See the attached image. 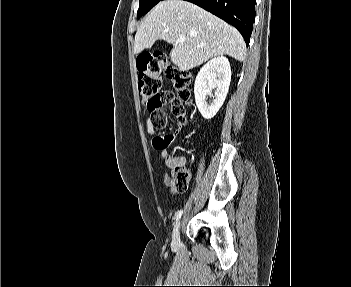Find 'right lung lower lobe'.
<instances>
[{
    "mask_svg": "<svg viewBox=\"0 0 351 287\" xmlns=\"http://www.w3.org/2000/svg\"><path fill=\"white\" fill-rule=\"evenodd\" d=\"M233 25L249 44L256 0H186Z\"/></svg>",
    "mask_w": 351,
    "mask_h": 287,
    "instance_id": "right-lung-lower-lobe-1",
    "label": "right lung lower lobe"
}]
</instances>
